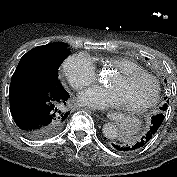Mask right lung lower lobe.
Here are the masks:
<instances>
[{"instance_id":"right-lung-lower-lobe-1","label":"right lung lower lobe","mask_w":177,"mask_h":177,"mask_svg":"<svg viewBox=\"0 0 177 177\" xmlns=\"http://www.w3.org/2000/svg\"><path fill=\"white\" fill-rule=\"evenodd\" d=\"M10 110L20 131L31 139L57 134L67 121L64 107L70 95L63 90L33 84H10Z\"/></svg>"}]
</instances>
